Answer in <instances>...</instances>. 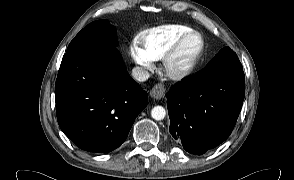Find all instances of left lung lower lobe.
Returning <instances> with one entry per match:
<instances>
[{"instance_id": "left-lung-lower-lobe-1", "label": "left lung lower lobe", "mask_w": 294, "mask_h": 180, "mask_svg": "<svg viewBox=\"0 0 294 180\" xmlns=\"http://www.w3.org/2000/svg\"><path fill=\"white\" fill-rule=\"evenodd\" d=\"M244 95L242 68H222L178 82L167 93L171 136L191 154L206 153L231 134Z\"/></svg>"}]
</instances>
